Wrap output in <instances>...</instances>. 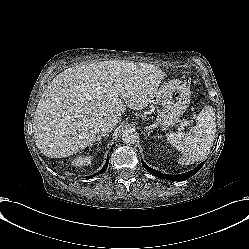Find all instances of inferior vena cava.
I'll use <instances>...</instances> for the list:
<instances>
[{
	"mask_svg": "<svg viewBox=\"0 0 249 249\" xmlns=\"http://www.w3.org/2000/svg\"><path fill=\"white\" fill-rule=\"evenodd\" d=\"M118 123V119H108L102 122L101 124V134L111 132L116 124Z\"/></svg>",
	"mask_w": 249,
	"mask_h": 249,
	"instance_id": "602c4592",
	"label": "inferior vena cava"
}]
</instances>
